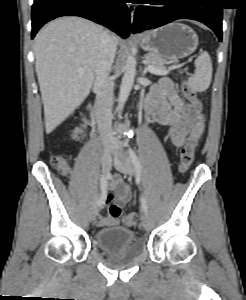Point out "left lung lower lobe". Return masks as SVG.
I'll return each instance as SVG.
<instances>
[{"label":"left lung lower lobe","mask_w":246,"mask_h":300,"mask_svg":"<svg viewBox=\"0 0 246 300\" xmlns=\"http://www.w3.org/2000/svg\"><path fill=\"white\" fill-rule=\"evenodd\" d=\"M163 2L166 4L162 8L137 7L132 32L138 33L177 19L188 18L204 23L216 33L219 41L222 40L223 8L218 0H163Z\"/></svg>","instance_id":"1"}]
</instances>
